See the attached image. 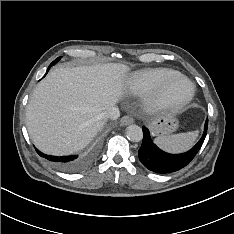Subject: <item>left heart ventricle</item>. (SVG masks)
<instances>
[{"label":"left heart ventricle","mask_w":234,"mask_h":234,"mask_svg":"<svg viewBox=\"0 0 234 234\" xmlns=\"http://www.w3.org/2000/svg\"><path fill=\"white\" fill-rule=\"evenodd\" d=\"M189 88L186 82H178L171 88L170 93L173 96H183L189 91Z\"/></svg>","instance_id":"b2bd125f"}]
</instances>
